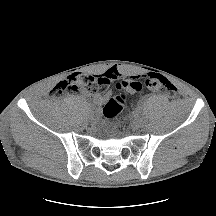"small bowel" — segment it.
<instances>
[{
  "mask_svg": "<svg viewBox=\"0 0 216 216\" xmlns=\"http://www.w3.org/2000/svg\"><path fill=\"white\" fill-rule=\"evenodd\" d=\"M111 80H117L123 77V74L116 68H110L105 73ZM136 91H129V93H134ZM111 90H108L104 94H97L94 96L93 100L96 105H102L111 95Z\"/></svg>",
  "mask_w": 216,
  "mask_h": 216,
  "instance_id": "1",
  "label": "small bowel"
}]
</instances>
